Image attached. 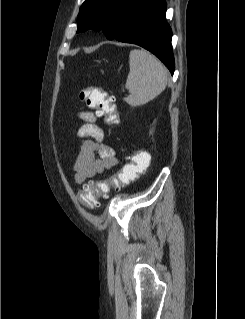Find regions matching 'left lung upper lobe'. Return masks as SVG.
Returning a JSON list of instances; mask_svg holds the SVG:
<instances>
[{
  "mask_svg": "<svg viewBox=\"0 0 245 319\" xmlns=\"http://www.w3.org/2000/svg\"><path fill=\"white\" fill-rule=\"evenodd\" d=\"M146 0H86L78 14V32L102 30L113 40L131 13Z\"/></svg>",
  "mask_w": 245,
  "mask_h": 319,
  "instance_id": "1",
  "label": "left lung upper lobe"
}]
</instances>
